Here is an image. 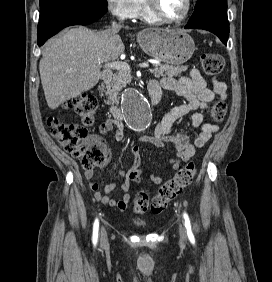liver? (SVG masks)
<instances>
[{"mask_svg":"<svg viewBox=\"0 0 272 282\" xmlns=\"http://www.w3.org/2000/svg\"><path fill=\"white\" fill-rule=\"evenodd\" d=\"M117 33L72 28L46 42L39 71L49 108L56 109L98 83L102 64L114 62L125 50Z\"/></svg>","mask_w":272,"mask_h":282,"instance_id":"1","label":"liver"}]
</instances>
